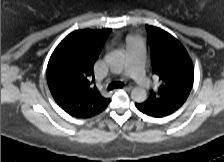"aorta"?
Masks as SVG:
<instances>
[{
    "label": "aorta",
    "mask_w": 224,
    "mask_h": 162,
    "mask_svg": "<svg viewBox=\"0 0 224 162\" xmlns=\"http://www.w3.org/2000/svg\"><path fill=\"white\" fill-rule=\"evenodd\" d=\"M106 62L110 70L115 74H120L124 66V55L122 52L115 51L107 55ZM131 98L137 103H142L147 99V93L144 88L135 87L131 91Z\"/></svg>",
    "instance_id": "aorta-1"
}]
</instances>
